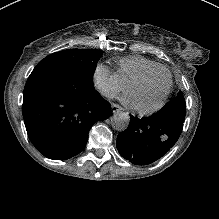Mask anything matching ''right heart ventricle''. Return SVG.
I'll use <instances>...</instances> for the list:
<instances>
[{
	"mask_svg": "<svg viewBox=\"0 0 219 219\" xmlns=\"http://www.w3.org/2000/svg\"><path fill=\"white\" fill-rule=\"evenodd\" d=\"M161 64L142 55L122 58L118 62L117 77L121 84L129 86L140 75L156 70Z\"/></svg>",
	"mask_w": 219,
	"mask_h": 219,
	"instance_id": "e07e8e85",
	"label": "right heart ventricle"
}]
</instances>
